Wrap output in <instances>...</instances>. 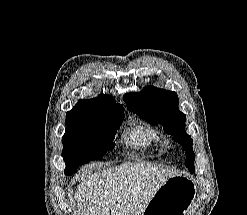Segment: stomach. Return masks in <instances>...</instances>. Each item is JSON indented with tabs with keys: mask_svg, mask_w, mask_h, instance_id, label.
<instances>
[{
	"mask_svg": "<svg viewBox=\"0 0 247 215\" xmlns=\"http://www.w3.org/2000/svg\"><path fill=\"white\" fill-rule=\"evenodd\" d=\"M197 190L193 179L173 176L157 190L140 215H189Z\"/></svg>",
	"mask_w": 247,
	"mask_h": 215,
	"instance_id": "stomach-1",
	"label": "stomach"
}]
</instances>
